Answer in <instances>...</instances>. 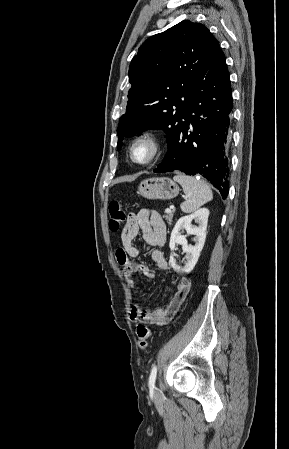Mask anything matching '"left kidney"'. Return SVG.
Segmentation results:
<instances>
[{"mask_svg":"<svg viewBox=\"0 0 289 449\" xmlns=\"http://www.w3.org/2000/svg\"><path fill=\"white\" fill-rule=\"evenodd\" d=\"M208 217L209 210L207 208H201L193 214L181 217L175 224L171 233L169 247L172 251L176 244L182 245L187 260L185 265L181 267L176 263L173 254L170 255L169 264L177 273H190L194 269L204 247ZM193 220L198 226H192L191 222ZM181 230H186L188 235L194 236V246L188 245L186 236L181 235Z\"/></svg>","mask_w":289,"mask_h":449,"instance_id":"5707ae66","label":"left kidney"}]
</instances>
